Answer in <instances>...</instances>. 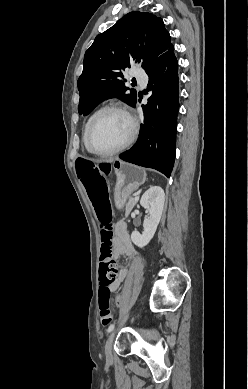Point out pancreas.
Listing matches in <instances>:
<instances>
[{"mask_svg":"<svg viewBox=\"0 0 248 389\" xmlns=\"http://www.w3.org/2000/svg\"><path fill=\"white\" fill-rule=\"evenodd\" d=\"M135 204H136L135 198L129 197L128 202L126 204V209H125L126 214H128L132 210V208L134 207Z\"/></svg>","mask_w":248,"mask_h":389,"instance_id":"1","label":"pancreas"}]
</instances>
